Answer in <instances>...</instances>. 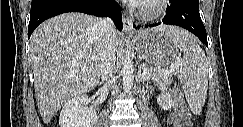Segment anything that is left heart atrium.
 Wrapping results in <instances>:
<instances>
[{"mask_svg":"<svg viewBox=\"0 0 243 127\" xmlns=\"http://www.w3.org/2000/svg\"><path fill=\"white\" fill-rule=\"evenodd\" d=\"M144 2L143 0H129V3L133 4V5H137Z\"/></svg>","mask_w":243,"mask_h":127,"instance_id":"39dd6f15","label":"left heart atrium"}]
</instances>
